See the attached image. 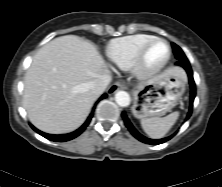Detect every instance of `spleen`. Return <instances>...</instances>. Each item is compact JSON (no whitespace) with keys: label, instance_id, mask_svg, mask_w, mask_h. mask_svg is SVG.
Here are the masks:
<instances>
[{"label":"spleen","instance_id":"1","mask_svg":"<svg viewBox=\"0 0 222 187\" xmlns=\"http://www.w3.org/2000/svg\"><path fill=\"white\" fill-rule=\"evenodd\" d=\"M179 117V112H173L165 117H150L141 119V126L148 136L153 139L164 137Z\"/></svg>","mask_w":222,"mask_h":187}]
</instances>
